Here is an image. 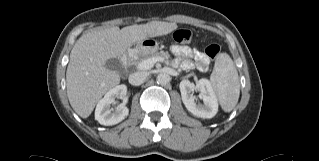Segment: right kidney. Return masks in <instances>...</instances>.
Masks as SVG:
<instances>
[{
    "instance_id": "obj_1",
    "label": "right kidney",
    "mask_w": 319,
    "mask_h": 161,
    "mask_svg": "<svg viewBox=\"0 0 319 161\" xmlns=\"http://www.w3.org/2000/svg\"><path fill=\"white\" fill-rule=\"evenodd\" d=\"M127 87L124 84L117 85L110 89L105 96L98 102L95 109V119L105 126L118 124L124 120L128 114L129 109L126 107L127 102ZM116 99H123V103L118 105L114 110L111 104L115 103Z\"/></svg>"
}]
</instances>
